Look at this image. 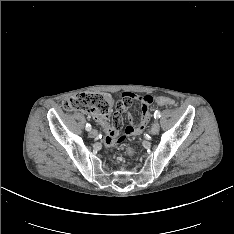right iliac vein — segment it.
I'll use <instances>...</instances> for the list:
<instances>
[{
    "mask_svg": "<svg viewBox=\"0 0 234 234\" xmlns=\"http://www.w3.org/2000/svg\"><path fill=\"white\" fill-rule=\"evenodd\" d=\"M97 134H98V132H97V130H95V129H92V130H90V132H89V135H90V137H92V138L96 137Z\"/></svg>",
    "mask_w": 234,
    "mask_h": 234,
    "instance_id": "right-iliac-vein-1",
    "label": "right iliac vein"
}]
</instances>
